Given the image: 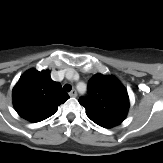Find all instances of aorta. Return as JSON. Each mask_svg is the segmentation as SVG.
Listing matches in <instances>:
<instances>
[{
	"mask_svg": "<svg viewBox=\"0 0 163 163\" xmlns=\"http://www.w3.org/2000/svg\"><path fill=\"white\" fill-rule=\"evenodd\" d=\"M79 86H83L84 87V91H86V85L85 84L81 83V84H79Z\"/></svg>",
	"mask_w": 163,
	"mask_h": 163,
	"instance_id": "obj_1",
	"label": "aorta"
}]
</instances>
